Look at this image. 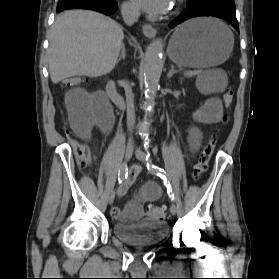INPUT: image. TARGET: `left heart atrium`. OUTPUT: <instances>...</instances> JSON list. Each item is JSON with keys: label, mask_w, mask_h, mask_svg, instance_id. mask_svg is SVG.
Masks as SVG:
<instances>
[{"label": "left heart atrium", "mask_w": 279, "mask_h": 279, "mask_svg": "<svg viewBox=\"0 0 279 279\" xmlns=\"http://www.w3.org/2000/svg\"><path fill=\"white\" fill-rule=\"evenodd\" d=\"M133 2L149 14L162 15L169 11L173 0H133Z\"/></svg>", "instance_id": "left-heart-atrium-1"}]
</instances>
